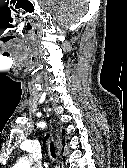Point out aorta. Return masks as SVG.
<instances>
[{"mask_svg":"<svg viewBox=\"0 0 127 168\" xmlns=\"http://www.w3.org/2000/svg\"><path fill=\"white\" fill-rule=\"evenodd\" d=\"M13 168H30V162L27 159H22Z\"/></svg>","mask_w":127,"mask_h":168,"instance_id":"1","label":"aorta"}]
</instances>
